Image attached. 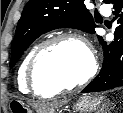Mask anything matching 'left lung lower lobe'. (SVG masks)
Segmentation results:
<instances>
[{
	"instance_id": "obj_1",
	"label": "left lung lower lobe",
	"mask_w": 123,
	"mask_h": 113,
	"mask_svg": "<svg viewBox=\"0 0 123 113\" xmlns=\"http://www.w3.org/2000/svg\"><path fill=\"white\" fill-rule=\"evenodd\" d=\"M114 4L115 19L118 26L115 40L109 46L100 42L104 51L103 67L99 75L83 90L82 93L99 92L123 86V0H111Z\"/></svg>"
}]
</instances>
